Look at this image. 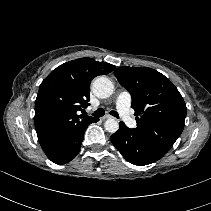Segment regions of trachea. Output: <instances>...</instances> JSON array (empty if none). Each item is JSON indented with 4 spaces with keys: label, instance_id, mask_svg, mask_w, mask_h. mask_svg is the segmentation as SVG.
<instances>
[{
    "label": "trachea",
    "instance_id": "trachea-1",
    "mask_svg": "<svg viewBox=\"0 0 211 211\" xmlns=\"http://www.w3.org/2000/svg\"><path fill=\"white\" fill-rule=\"evenodd\" d=\"M94 117H102L105 115V111L102 108L97 109L93 114ZM110 115L119 118V115L116 111H110Z\"/></svg>",
    "mask_w": 211,
    "mask_h": 211
}]
</instances>
